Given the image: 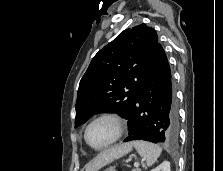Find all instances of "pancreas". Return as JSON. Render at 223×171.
<instances>
[{
	"label": "pancreas",
	"instance_id": "1",
	"mask_svg": "<svg viewBox=\"0 0 223 171\" xmlns=\"http://www.w3.org/2000/svg\"><path fill=\"white\" fill-rule=\"evenodd\" d=\"M132 171H141L140 169H134V170H132Z\"/></svg>",
	"mask_w": 223,
	"mask_h": 171
}]
</instances>
